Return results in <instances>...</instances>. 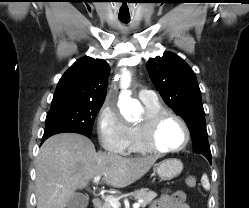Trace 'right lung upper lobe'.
Here are the masks:
<instances>
[{
  "instance_id": "obj_1",
  "label": "right lung upper lobe",
  "mask_w": 249,
  "mask_h": 208,
  "mask_svg": "<svg viewBox=\"0 0 249 208\" xmlns=\"http://www.w3.org/2000/svg\"><path fill=\"white\" fill-rule=\"evenodd\" d=\"M109 65L102 59L77 60L58 82L51 106L70 102H104Z\"/></svg>"
}]
</instances>
